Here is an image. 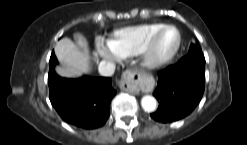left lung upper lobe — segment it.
I'll return each instance as SVG.
<instances>
[{"mask_svg":"<svg viewBox=\"0 0 247 145\" xmlns=\"http://www.w3.org/2000/svg\"><path fill=\"white\" fill-rule=\"evenodd\" d=\"M194 50H201V48L199 46H195L192 44L190 51H194Z\"/></svg>","mask_w":247,"mask_h":145,"instance_id":"obj_1","label":"left lung upper lobe"}]
</instances>
